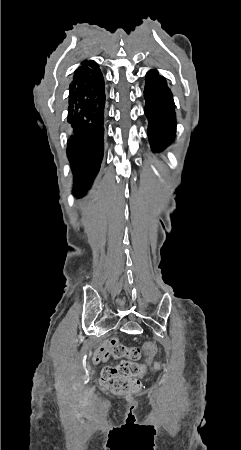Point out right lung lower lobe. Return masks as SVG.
Here are the masks:
<instances>
[{
    "label": "right lung lower lobe",
    "mask_w": 241,
    "mask_h": 450,
    "mask_svg": "<svg viewBox=\"0 0 241 450\" xmlns=\"http://www.w3.org/2000/svg\"><path fill=\"white\" fill-rule=\"evenodd\" d=\"M105 84L99 65L84 63L69 87L68 123L72 133L67 156L77 197L86 194L97 175L104 151Z\"/></svg>",
    "instance_id": "98d812e1"
}]
</instances>
